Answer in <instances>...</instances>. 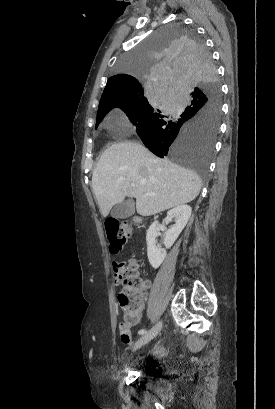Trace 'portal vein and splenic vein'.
I'll return each instance as SVG.
<instances>
[{"mask_svg":"<svg viewBox=\"0 0 275 409\" xmlns=\"http://www.w3.org/2000/svg\"><path fill=\"white\" fill-rule=\"evenodd\" d=\"M131 186H135L134 182H131ZM146 194H150V192H146Z\"/></svg>","mask_w":275,"mask_h":409,"instance_id":"18ae733b","label":"portal vein and splenic vein"}]
</instances>
